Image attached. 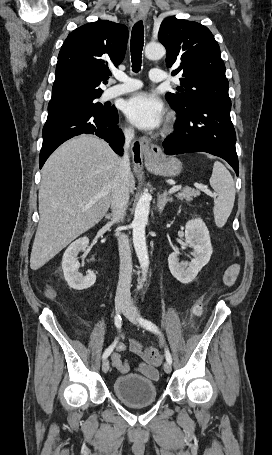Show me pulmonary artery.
<instances>
[{
    "instance_id": "obj_1",
    "label": "pulmonary artery",
    "mask_w": 272,
    "mask_h": 455,
    "mask_svg": "<svg viewBox=\"0 0 272 455\" xmlns=\"http://www.w3.org/2000/svg\"><path fill=\"white\" fill-rule=\"evenodd\" d=\"M116 78L120 80L121 83L108 88L103 94L104 99H112L135 91L141 87V83L138 80L126 75H117ZM165 78V73L160 69L154 68L150 71V79L152 82H163Z\"/></svg>"
}]
</instances>
